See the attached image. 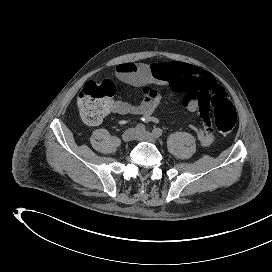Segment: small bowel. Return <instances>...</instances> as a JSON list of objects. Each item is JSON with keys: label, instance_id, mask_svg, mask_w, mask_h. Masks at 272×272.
I'll list each match as a JSON object with an SVG mask.
<instances>
[{"label": "small bowel", "instance_id": "1", "mask_svg": "<svg viewBox=\"0 0 272 272\" xmlns=\"http://www.w3.org/2000/svg\"><path fill=\"white\" fill-rule=\"evenodd\" d=\"M117 78L129 85L143 88V100L138 104L127 101H113L109 113L140 116L146 122H158L154 115L160 95L152 86L159 84L183 94L182 103L190 112H200L198 122L203 126L191 125L202 146L213 142V134L209 127L214 120L209 110L211 96L223 91L214 75L209 71L184 62H161L155 64L124 62L116 66Z\"/></svg>", "mask_w": 272, "mask_h": 272}]
</instances>
